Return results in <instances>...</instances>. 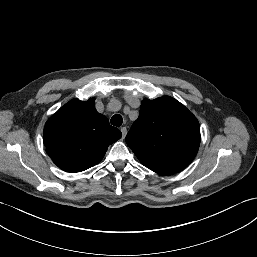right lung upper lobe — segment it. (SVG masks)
<instances>
[{"instance_id": "obj_1", "label": "right lung upper lobe", "mask_w": 257, "mask_h": 257, "mask_svg": "<svg viewBox=\"0 0 257 257\" xmlns=\"http://www.w3.org/2000/svg\"><path fill=\"white\" fill-rule=\"evenodd\" d=\"M94 101L71 100L45 124L46 151L66 172H80L98 164L108 146L122 135L96 111Z\"/></svg>"}]
</instances>
